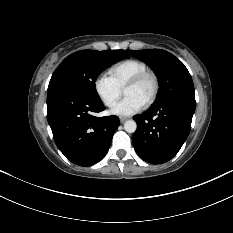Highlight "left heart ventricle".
<instances>
[{"label":"left heart ventricle","instance_id":"b2bd125f","mask_svg":"<svg viewBox=\"0 0 233 233\" xmlns=\"http://www.w3.org/2000/svg\"><path fill=\"white\" fill-rule=\"evenodd\" d=\"M152 90L153 82L151 79H147L137 86L126 88L124 90V95L137 97L145 103L151 95Z\"/></svg>","mask_w":233,"mask_h":233}]
</instances>
